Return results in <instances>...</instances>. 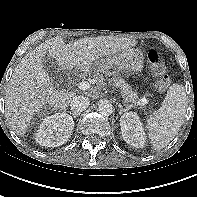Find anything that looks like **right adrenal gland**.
<instances>
[{
    "label": "right adrenal gland",
    "mask_w": 197,
    "mask_h": 197,
    "mask_svg": "<svg viewBox=\"0 0 197 197\" xmlns=\"http://www.w3.org/2000/svg\"><path fill=\"white\" fill-rule=\"evenodd\" d=\"M70 115H72L74 118H76L78 116V114H75V113H72V112H69Z\"/></svg>",
    "instance_id": "1"
}]
</instances>
